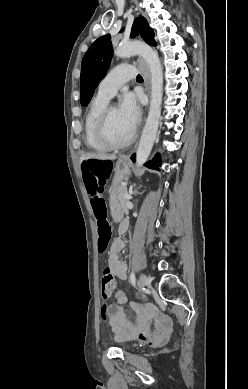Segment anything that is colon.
<instances>
[{
	"label": "colon",
	"mask_w": 248,
	"mask_h": 389,
	"mask_svg": "<svg viewBox=\"0 0 248 389\" xmlns=\"http://www.w3.org/2000/svg\"><path fill=\"white\" fill-rule=\"evenodd\" d=\"M84 182L89 194L90 205L97 219L98 225V252L104 253L109 245L112 236V228L107 220L104 192L106 182L110 180V172L113 171V162L110 157H83ZM116 287V281L109 267H105L101 275V295L104 300L102 308V319L104 322L110 320L106 301L109 299ZM113 299L127 298L128 293L123 288L114 291Z\"/></svg>",
	"instance_id": "colon-1"
}]
</instances>
